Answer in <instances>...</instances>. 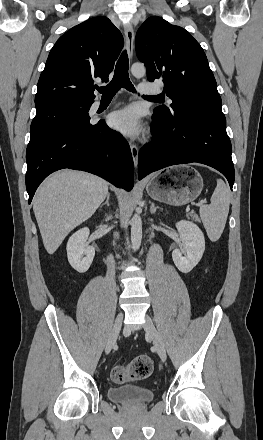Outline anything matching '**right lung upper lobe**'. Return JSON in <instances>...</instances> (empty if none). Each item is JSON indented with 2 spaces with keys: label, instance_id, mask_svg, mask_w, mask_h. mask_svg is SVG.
<instances>
[{
  "label": "right lung upper lobe",
  "instance_id": "1",
  "mask_svg": "<svg viewBox=\"0 0 263 440\" xmlns=\"http://www.w3.org/2000/svg\"><path fill=\"white\" fill-rule=\"evenodd\" d=\"M123 44L120 31L104 16L71 28L49 53L38 81L36 108L59 102L93 103L94 80L108 81Z\"/></svg>",
  "mask_w": 263,
  "mask_h": 440
}]
</instances>
